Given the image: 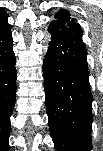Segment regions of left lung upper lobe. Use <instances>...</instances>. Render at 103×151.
<instances>
[{
	"label": "left lung upper lobe",
	"instance_id": "5c2ea615",
	"mask_svg": "<svg viewBox=\"0 0 103 151\" xmlns=\"http://www.w3.org/2000/svg\"><path fill=\"white\" fill-rule=\"evenodd\" d=\"M55 18L57 20H53L50 24V26H52L53 28L57 29V30H64L68 27H70V25L72 23L78 24L77 20L70 17V13L66 10H63L62 12H59Z\"/></svg>",
	"mask_w": 103,
	"mask_h": 151
}]
</instances>
